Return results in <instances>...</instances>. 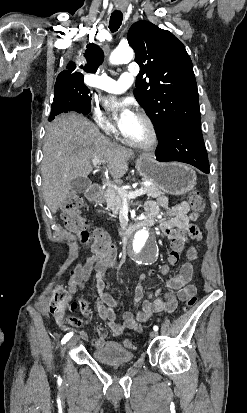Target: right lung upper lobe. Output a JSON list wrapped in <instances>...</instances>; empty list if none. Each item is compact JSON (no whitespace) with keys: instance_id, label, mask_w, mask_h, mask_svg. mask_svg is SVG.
I'll return each instance as SVG.
<instances>
[{"instance_id":"cb5924a9","label":"right lung upper lobe","mask_w":247,"mask_h":413,"mask_svg":"<svg viewBox=\"0 0 247 413\" xmlns=\"http://www.w3.org/2000/svg\"><path fill=\"white\" fill-rule=\"evenodd\" d=\"M86 48L84 53L86 63L82 68L87 72L95 73L99 65L103 62V51L98 45L91 43L88 44ZM83 77V74L75 71V64L71 62L67 66V69L58 75L56 83L83 81Z\"/></svg>"}]
</instances>
